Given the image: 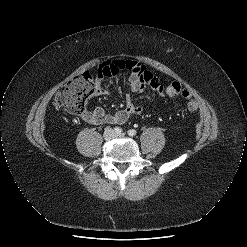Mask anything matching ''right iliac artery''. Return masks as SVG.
I'll list each match as a JSON object with an SVG mask.
<instances>
[{"instance_id":"82829eb1","label":"right iliac artery","mask_w":247,"mask_h":247,"mask_svg":"<svg viewBox=\"0 0 247 247\" xmlns=\"http://www.w3.org/2000/svg\"><path fill=\"white\" fill-rule=\"evenodd\" d=\"M114 132H115L116 134H121L122 129H121L120 127H115V128H114Z\"/></svg>"}]
</instances>
